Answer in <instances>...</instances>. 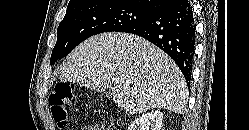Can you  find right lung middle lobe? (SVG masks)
Wrapping results in <instances>:
<instances>
[{
  "instance_id": "1",
  "label": "right lung middle lobe",
  "mask_w": 249,
  "mask_h": 130,
  "mask_svg": "<svg viewBox=\"0 0 249 130\" xmlns=\"http://www.w3.org/2000/svg\"><path fill=\"white\" fill-rule=\"evenodd\" d=\"M155 12L138 6L129 0L96 1L66 11L57 30V42L50 64L67 56L87 38L104 32H121L142 22Z\"/></svg>"
}]
</instances>
